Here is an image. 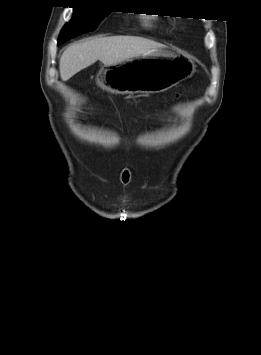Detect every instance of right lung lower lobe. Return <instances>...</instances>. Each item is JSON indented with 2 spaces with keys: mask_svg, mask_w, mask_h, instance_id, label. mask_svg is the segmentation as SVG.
Masks as SVG:
<instances>
[{
  "mask_svg": "<svg viewBox=\"0 0 261 355\" xmlns=\"http://www.w3.org/2000/svg\"><path fill=\"white\" fill-rule=\"evenodd\" d=\"M70 40V39H69ZM65 41H67L66 39H63V40H58V45H61L63 44Z\"/></svg>",
  "mask_w": 261,
  "mask_h": 355,
  "instance_id": "obj_1",
  "label": "right lung lower lobe"
}]
</instances>
